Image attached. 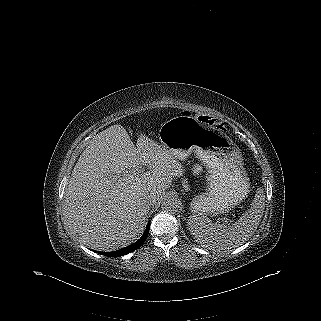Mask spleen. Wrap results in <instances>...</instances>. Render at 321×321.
<instances>
[{
    "instance_id": "obj_1",
    "label": "spleen",
    "mask_w": 321,
    "mask_h": 321,
    "mask_svg": "<svg viewBox=\"0 0 321 321\" xmlns=\"http://www.w3.org/2000/svg\"><path fill=\"white\" fill-rule=\"evenodd\" d=\"M264 209L265 195L260 189L251 208L232 225L212 223L206 216L192 215L188 219L189 230L202 247L216 252L231 250L255 233Z\"/></svg>"
}]
</instances>
